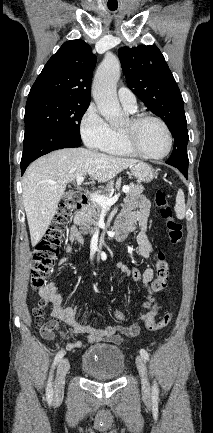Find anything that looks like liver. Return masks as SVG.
<instances>
[{
  "instance_id": "6515ba94",
  "label": "liver",
  "mask_w": 213,
  "mask_h": 433,
  "mask_svg": "<svg viewBox=\"0 0 213 433\" xmlns=\"http://www.w3.org/2000/svg\"><path fill=\"white\" fill-rule=\"evenodd\" d=\"M138 162L85 148L60 149L34 161L22 180L32 246L47 231L68 183L86 174L98 182H106Z\"/></svg>"
}]
</instances>
